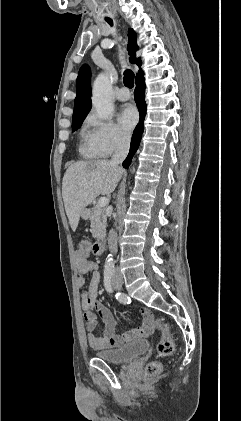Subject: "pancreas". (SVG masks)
Returning <instances> with one entry per match:
<instances>
[{
	"label": "pancreas",
	"mask_w": 241,
	"mask_h": 421,
	"mask_svg": "<svg viewBox=\"0 0 241 421\" xmlns=\"http://www.w3.org/2000/svg\"><path fill=\"white\" fill-rule=\"evenodd\" d=\"M91 220V233L95 238H102L106 233V215L100 207L92 209Z\"/></svg>",
	"instance_id": "cf45deb5"
}]
</instances>
